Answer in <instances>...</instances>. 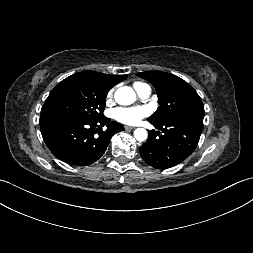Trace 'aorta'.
I'll list each match as a JSON object with an SVG mask.
<instances>
[{
    "label": "aorta",
    "instance_id": "762f6f07",
    "mask_svg": "<svg viewBox=\"0 0 253 253\" xmlns=\"http://www.w3.org/2000/svg\"><path fill=\"white\" fill-rule=\"evenodd\" d=\"M114 98L120 105H130L135 101L136 94L132 88L124 86L116 90ZM134 137L137 141L142 142L147 139L148 133L144 128H137L134 131Z\"/></svg>",
    "mask_w": 253,
    "mask_h": 253
}]
</instances>
